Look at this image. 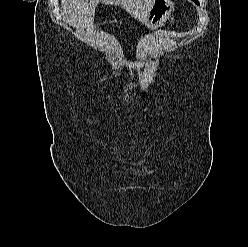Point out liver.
Wrapping results in <instances>:
<instances>
[{
	"label": "liver",
	"mask_w": 248,
	"mask_h": 247,
	"mask_svg": "<svg viewBox=\"0 0 248 247\" xmlns=\"http://www.w3.org/2000/svg\"><path fill=\"white\" fill-rule=\"evenodd\" d=\"M101 1L105 5H121L127 13L141 22L154 2V0H61L64 20L84 33L85 29L92 28L95 9Z\"/></svg>",
	"instance_id": "obj_1"
}]
</instances>
